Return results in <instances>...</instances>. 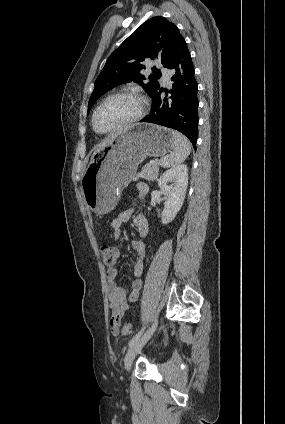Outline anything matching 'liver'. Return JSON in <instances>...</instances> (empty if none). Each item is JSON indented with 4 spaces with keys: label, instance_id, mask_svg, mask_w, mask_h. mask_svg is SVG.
<instances>
[{
    "label": "liver",
    "instance_id": "1",
    "mask_svg": "<svg viewBox=\"0 0 285 424\" xmlns=\"http://www.w3.org/2000/svg\"><path fill=\"white\" fill-rule=\"evenodd\" d=\"M118 137L117 134H113L109 137H107L102 143L101 145L95 150L94 153L101 151L106 145L112 143L116 138Z\"/></svg>",
    "mask_w": 285,
    "mask_h": 424
}]
</instances>
